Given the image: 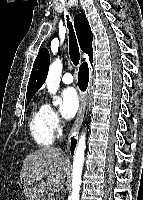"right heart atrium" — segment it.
Returning a JSON list of instances; mask_svg holds the SVG:
<instances>
[{"mask_svg": "<svg viewBox=\"0 0 143 200\" xmlns=\"http://www.w3.org/2000/svg\"><path fill=\"white\" fill-rule=\"evenodd\" d=\"M42 108L44 110L48 130L53 136L57 135L61 130V120L57 111L47 102L43 103Z\"/></svg>", "mask_w": 143, "mask_h": 200, "instance_id": "1", "label": "right heart atrium"}]
</instances>
